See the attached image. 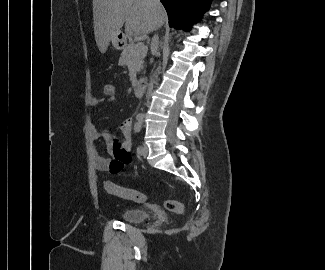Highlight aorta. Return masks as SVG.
Here are the masks:
<instances>
[{
  "mask_svg": "<svg viewBox=\"0 0 325 270\" xmlns=\"http://www.w3.org/2000/svg\"><path fill=\"white\" fill-rule=\"evenodd\" d=\"M160 70H161V67L159 66V67L157 68L156 74H159V73H160Z\"/></svg>",
  "mask_w": 325,
  "mask_h": 270,
  "instance_id": "aorta-1",
  "label": "aorta"
}]
</instances>
